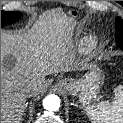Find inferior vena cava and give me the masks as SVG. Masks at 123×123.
<instances>
[{"instance_id": "1", "label": "inferior vena cava", "mask_w": 123, "mask_h": 123, "mask_svg": "<svg viewBox=\"0 0 123 123\" xmlns=\"http://www.w3.org/2000/svg\"><path fill=\"white\" fill-rule=\"evenodd\" d=\"M36 90H37V85L34 83H28L23 88V91L27 97H31V96L35 95Z\"/></svg>"}]
</instances>
